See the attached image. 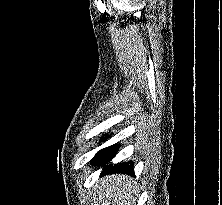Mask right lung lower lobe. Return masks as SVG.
I'll list each match as a JSON object with an SVG mask.
<instances>
[{"instance_id": "1", "label": "right lung lower lobe", "mask_w": 222, "mask_h": 205, "mask_svg": "<svg viewBox=\"0 0 222 205\" xmlns=\"http://www.w3.org/2000/svg\"><path fill=\"white\" fill-rule=\"evenodd\" d=\"M106 137H103L102 140H106ZM120 145L114 144L110 147L104 148L97 152V154L94 156V158L91 160V163H98L97 166L104 165L102 174H114V173H126L133 175V166L132 162H125V163H119V164H109L108 162L111 161V159L115 156V154L118 151ZM130 163V164H129Z\"/></svg>"}]
</instances>
